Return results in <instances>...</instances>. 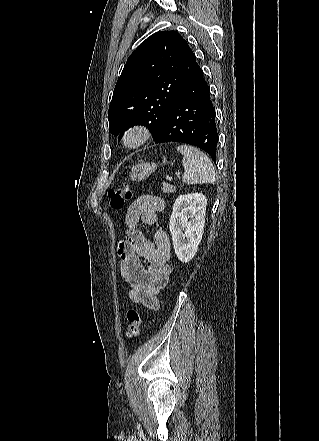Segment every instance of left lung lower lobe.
<instances>
[{"label":"left lung lower lobe","instance_id":"left-lung-lower-lobe-1","mask_svg":"<svg viewBox=\"0 0 319 441\" xmlns=\"http://www.w3.org/2000/svg\"><path fill=\"white\" fill-rule=\"evenodd\" d=\"M215 120L210 89L198 67L171 107L155 142L188 143L207 152L216 162L218 133Z\"/></svg>","mask_w":319,"mask_h":441}]
</instances>
